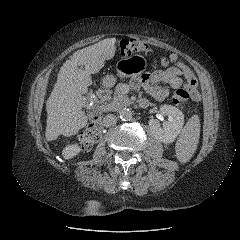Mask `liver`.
<instances>
[{"mask_svg":"<svg viewBox=\"0 0 240 240\" xmlns=\"http://www.w3.org/2000/svg\"><path fill=\"white\" fill-rule=\"evenodd\" d=\"M116 38H106L96 44L76 51L60 68L57 82L46 101V139L55 140L59 135H75L87 125L82 112L84 94L92 84L91 74L98 73L106 60L114 57ZM84 65L85 70L78 66Z\"/></svg>","mask_w":240,"mask_h":240,"instance_id":"6515ba94","label":"liver"}]
</instances>
